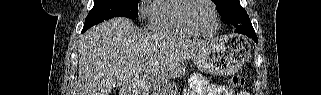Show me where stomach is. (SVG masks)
<instances>
[{"label":"stomach","mask_w":321,"mask_h":95,"mask_svg":"<svg viewBox=\"0 0 321 95\" xmlns=\"http://www.w3.org/2000/svg\"><path fill=\"white\" fill-rule=\"evenodd\" d=\"M250 51V46L242 42L238 36H226L207 42L194 56V63L203 72L230 75L245 65ZM185 71L186 67L182 65L170 71L169 77L178 78L184 75Z\"/></svg>","instance_id":"0dacf381"}]
</instances>
